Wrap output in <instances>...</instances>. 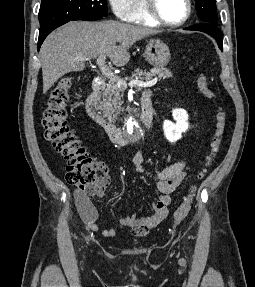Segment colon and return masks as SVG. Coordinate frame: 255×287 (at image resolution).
Segmentation results:
<instances>
[{
	"label": "colon",
	"mask_w": 255,
	"mask_h": 287,
	"mask_svg": "<svg viewBox=\"0 0 255 287\" xmlns=\"http://www.w3.org/2000/svg\"><path fill=\"white\" fill-rule=\"evenodd\" d=\"M197 84L200 92L204 96L215 98V95L207 87L204 74L199 75ZM71 88L72 80L69 77H63L55 84L50 91L46 108L43 111L42 125L45 139L52 143L54 149L60 153L67 162V182L84 191L97 181V166L92 157L85 151L74 133L67 126L66 107L69 101ZM225 122V112L222 106L218 104L210 152L204 167L197 175L198 180H202L206 176L208 169L219 153L224 135ZM196 189V186L190 188L188 194L174 212L172 219L175 224L180 223L188 215Z\"/></svg>",
	"instance_id": "5ec220e1"
}]
</instances>
